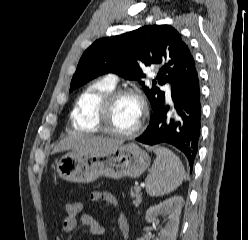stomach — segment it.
Here are the masks:
<instances>
[{
	"mask_svg": "<svg viewBox=\"0 0 248 240\" xmlns=\"http://www.w3.org/2000/svg\"><path fill=\"white\" fill-rule=\"evenodd\" d=\"M150 165L148 154L135 143L98 152L72 151L57 162L56 172L66 181L90 183L99 177H139Z\"/></svg>",
	"mask_w": 248,
	"mask_h": 240,
	"instance_id": "0dacf381",
	"label": "stomach"
}]
</instances>
